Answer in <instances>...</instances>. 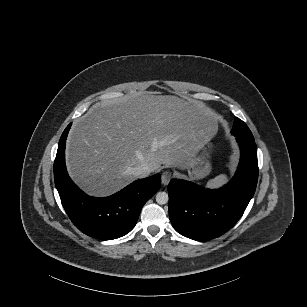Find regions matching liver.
<instances>
[{
    "mask_svg": "<svg viewBox=\"0 0 307 307\" xmlns=\"http://www.w3.org/2000/svg\"><path fill=\"white\" fill-rule=\"evenodd\" d=\"M205 104L173 95L128 94L97 103L72 128L67 152L70 176L86 193L111 195L136 179L130 169L151 172L188 167L201 143Z\"/></svg>",
    "mask_w": 307,
    "mask_h": 307,
    "instance_id": "liver-1",
    "label": "liver"
}]
</instances>
